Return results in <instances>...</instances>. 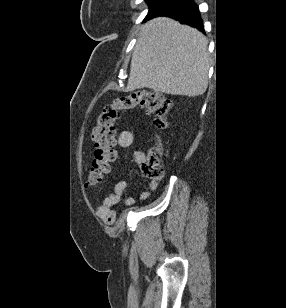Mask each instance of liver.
<instances>
[{
  "label": "liver",
  "instance_id": "6515ba94",
  "mask_svg": "<svg viewBox=\"0 0 286 308\" xmlns=\"http://www.w3.org/2000/svg\"><path fill=\"white\" fill-rule=\"evenodd\" d=\"M208 41L189 26L166 18L142 25L133 50L126 91L149 88L195 97L208 87Z\"/></svg>",
  "mask_w": 286,
  "mask_h": 308
}]
</instances>
